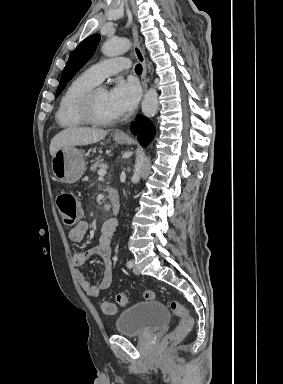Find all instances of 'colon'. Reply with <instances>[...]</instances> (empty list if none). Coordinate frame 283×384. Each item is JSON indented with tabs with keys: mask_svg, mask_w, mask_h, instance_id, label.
Returning a JSON list of instances; mask_svg holds the SVG:
<instances>
[{
	"mask_svg": "<svg viewBox=\"0 0 283 384\" xmlns=\"http://www.w3.org/2000/svg\"><path fill=\"white\" fill-rule=\"evenodd\" d=\"M56 203L64 226L68 228L75 226L80 219L81 212L74 194L68 190H61L57 194ZM143 297L145 300H155L156 293L153 290H146L143 292ZM128 300V295L124 292L116 295V302L119 305H126ZM101 308L105 314H113L115 312V305L111 302H103ZM170 308L174 315L180 318V322L175 330L165 337L164 344L166 346L173 345L182 340L192 330L194 324L192 316L180 302L176 300L171 301Z\"/></svg>",
	"mask_w": 283,
	"mask_h": 384,
	"instance_id": "colon-1",
	"label": "colon"
}]
</instances>
